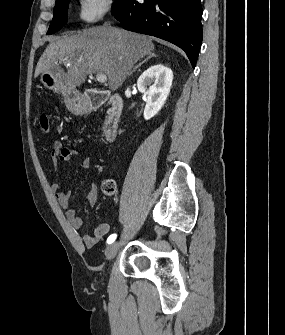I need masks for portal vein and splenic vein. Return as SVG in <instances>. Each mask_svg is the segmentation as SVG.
I'll return each instance as SVG.
<instances>
[{"mask_svg":"<svg viewBox=\"0 0 285 335\" xmlns=\"http://www.w3.org/2000/svg\"><path fill=\"white\" fill-rule=\"evenodd\" d=\"M96 80L97 82H101V84H106L107 76H105V74H97Z\"/></svg>","mask_w":285,"mask_h":335,"instance_id":"18ae733b","label":"portal vein and splenic vein"}]
</instances>
